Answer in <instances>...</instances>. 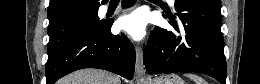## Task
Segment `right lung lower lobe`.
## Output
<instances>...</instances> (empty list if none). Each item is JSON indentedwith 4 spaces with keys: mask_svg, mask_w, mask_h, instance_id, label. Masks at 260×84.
I'll use <instances>...</instances> for the list:
<instances>
[{
    "mask_svg": "<svg viewBox=\"0 0 260 84\" xmlns=\"http://www.w3.org/2000/svg\"><path fill=\"white\" fill-rule=\"evenodd\" d=\"M135 0H124V7ZM112 24L97 35L82 36L65 44L46 63V84H54L61 77L83 68H99L133 78L135 49L125 35H113Z\"/></svg>",
    "mask_w": 260,
    "mask_h": 84,
    "instance_id": "right-lung-lower-lobe-1",
    "label": "right lung lower lobe"
}]
</instances>
